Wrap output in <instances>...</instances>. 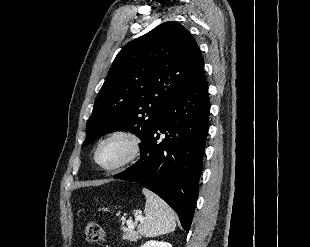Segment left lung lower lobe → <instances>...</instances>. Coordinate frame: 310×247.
Segmentation results:
<instances>
[{
	"instance_id": "obj_1",
	"label": "left lung lower lobe",
	"mask_w": 310,
	"mask_h": 247,
	"mask_svg": "<svg viewBox=\"0 0 310 247\" xmlns=\"http://www.w3.org/2000/svg\"><path fill=\"white\" fill-rule=\"evenodd\" d=\"M209 111L208 85L202 69L165 108L140 149V160L114 176L137 182L160 196L178 214L186 232L199 193Z\"/></svg>"
}]
</instances>
